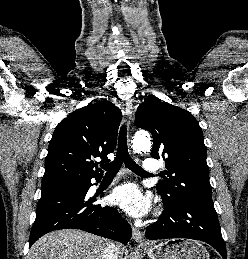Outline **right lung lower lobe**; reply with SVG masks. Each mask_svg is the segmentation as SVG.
Here are the masks:
<instances>
[{"instance_id": "obj_1", "label": "right lung lower lobe", "mask_w": 248, "mask_h": 259, "mask_svg": "<svg viewBox=\"0 0 248 259\" xmlns=\"http://www.w3.org/2000/svg\"><path fill=\"white\" fill-rule=\"evenodd\" d=\"M91 186L87 180L82 185L42 189L29 246L48 232L67 228L81 229L126 244L131 238L129 223L115 208L94 204L96 196H86Z\"/></svg>"}]
</instances>
